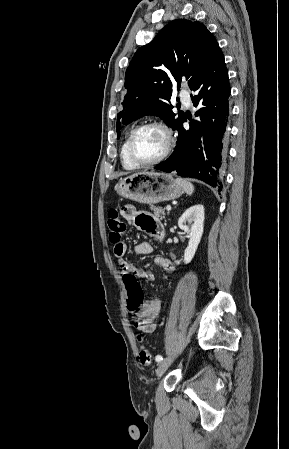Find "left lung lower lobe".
<instances>
[{
    "mask_svg": "<svg viewBox=\"0 0 289 449\" xmlns=\"http://www.w3.org/2000/svg\"><path fill=\"white\" fill-rule=\"evenodd\" d=\"M190 89L196 91L191 98L198 107L195 116L199 119L190 122L189 130L183 127L185 116L178 122L174 152L154 169L177 171L182 177L197 178L221 191L219 169L227 148L230 86L219 47L204 62Z\"/></svg>",
    "mask_w": 289,
    "mask_h": 449,
    "instance_id": "0a47b994",
    "label": "left lung lower lobe"
}]
</instances>
